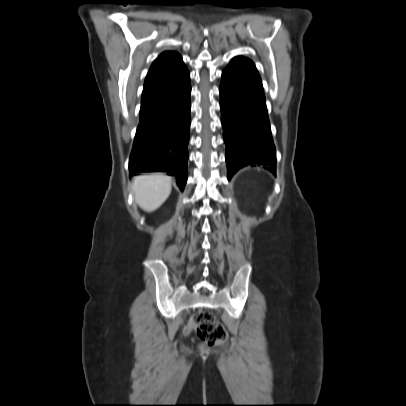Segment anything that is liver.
Listing matches in <instances>:
<instances>
[{"mask_svg":"<svg viewBox=\"0 0 406 406\" xmlns=\"http://www.w3.org/2000/svg\"><path fill=\"white\" fill-rule=\"evenodd\" d=\"M170 181V177L160 173L136 177L133 182L136 202L147 212L156 210L171 193Z\"/></svg>","mask_w":406,"mask_h":406,"instance_id":"liver-1","label":"liver"}]
</instances>
